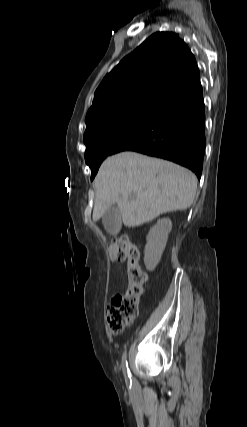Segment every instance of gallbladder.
Wrapping results in <instances>:
<instances>
[{
  "mask_svg": "<svg viewBox=\"0 0 247 427\" xmlns=\"http://www.w3.org/2000/svg\"><path fill=\"white\" fill-rule=\"evenodd\" d=\"M102 223L109 234H118L121 229V213L117 205L113 204L105 211Z\"/></svg>",
  "mask_w": 247,
  "mask_h": 427,
  "instance_id": "gallbladder-1",
  "label": "gallbladder"
}]
</instances>
